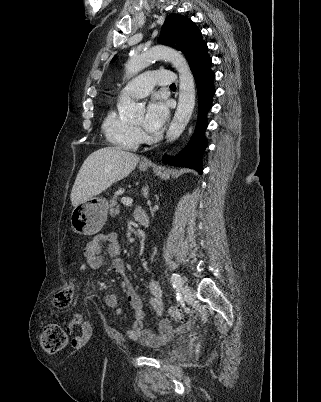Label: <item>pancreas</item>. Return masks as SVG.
<instances>
[{
  "label": "pancreas",
  "instance_id": "cf45deb5",
  "mask_svg": "<svg viewBox=\"0 0 321 402\" xmlns=\"http://www.w3.org/2000/svg\"><path fill=\"white\" fill-rule=\"evenodd\" d=\"M109 207H110V215L111 216L114 217L119 214V206H117V196L116 195H114L112 197V199L110 200Z\"/></svg>",
  "mask_w": 321,
  "mask_h": 402
}]
</instances>
